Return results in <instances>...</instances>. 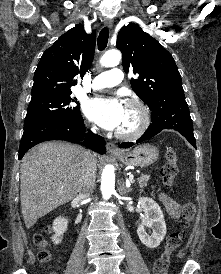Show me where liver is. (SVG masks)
Masks as SVG:
<instances>
[{"label":"liver","instance_id":"1","mask_svg":"<svg viewBox=\"0 0 221 274\" xmlns=\"http://www.w3.org/2000/svg\"><path fill=\"white\" fill-rule=\"evenodd\" d=\"M87 151L64 142H44L22 159L20 199L26 227L77 195Z\"/></svg>","mask_w":221,"mask_h":274}]
</instances>
